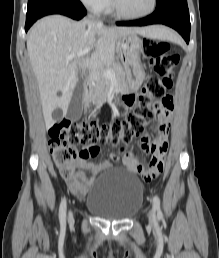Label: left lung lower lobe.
I'll return each mask as SVG.
<instances>
[{
    "label": "left lung lower lobe",
    "instance_id": "obj_1",
    "mask_svg": "<svg viewBox=\"0 0 219 258\" xmlns=\"http://www.w3.org/2000/svg\"><path fill=\"white\" fill-rule=\"evenodd\" d=\"M151 24H164L172 27L189 43L191 25L187 1L167 3L143 19L117 22L119 26H145Z\"/></svg>",
    "mask_w": 219,
    "mask_h": 258
}]
</instances>
